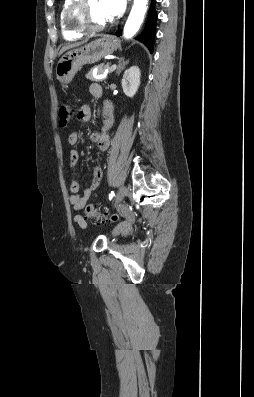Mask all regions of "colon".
<instances>
[{
    "instance_id": "1",
    "label": "colon",
    "mask_w": 254,
    "mask_h": 397,
    "mask_svg": "<svg viewBox=\"0 0 254 397\" xmlns=\"http://www.w3.org/2000/svg\"><path fill=\"white\" fill-rule=\"evenodd\" d=\"M59 122L61 126H66L72 115V108L68 103H62L59 107ZM86 216L96 222H103L105 220L114 221L116 216L107 217L106 214H102L95 204L87 205L85 209Z\"/></svg>"
}]
</instances>
